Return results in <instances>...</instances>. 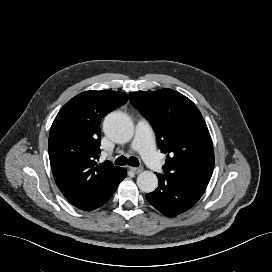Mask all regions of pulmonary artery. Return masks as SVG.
<instances>
[{
  "instance_id": "1",
  "label": "pulmonary artery",
  "mask_w": 272,
  "mask_h": 272,
  "mask_svg": "<svg viewBox=\"0 0 272 272\" xmlns=\"http://www.w3.org/2000/svg\"><path fill=\"white\" fill-rule=\"evenodd\" d=\"M131 148L141 154L145 162L154 172L158 175L164 173V166L155 150L152 129L147 121L140 120L138 122Z\"/></svg>"
}]
</instances>
